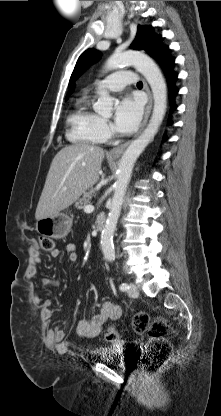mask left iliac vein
I'll return each mask as SVG.
<instances>
[{"label": "left iliac vein", "mask_w": 221, "mask_h": 416, "mask_svg": "<svg viewBox=\"0 0 221 416\" xmlns=\"http://www.w3.org/2000/svg\"><path fill=\"white\" fill-rule=\"evenodd\" d=\"M128 295L132 298H135L139 295V291L134 283L129 284Z\"/></svg>", "instance_id": "1"}]
</instances>
